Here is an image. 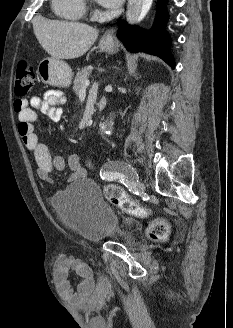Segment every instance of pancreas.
<instances>
[{"label":"pancreas","mask_w":233,"mask_h":328,"mask_svg":"<svg viewBox=\"0 0 233 328\" xmlns=\"http://www.w3.org/2000/svg\"><path fill=\"white\" fill-rule=\"evenodd\" d=\"M90 75V69L89 67L82 69L81 71H79L74 79V85H73V91L78 94L79 91L81 90L83 83L85 82V80L88 79Z\"/></svg>","instance_id":"obj_1"}]
</instances>
